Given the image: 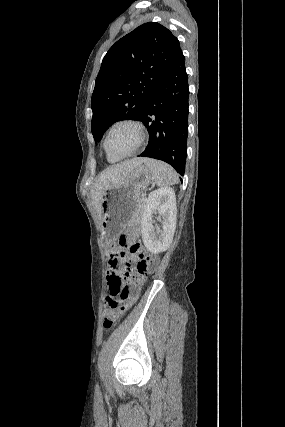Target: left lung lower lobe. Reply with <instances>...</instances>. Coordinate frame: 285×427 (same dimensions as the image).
I'll list each match as a JSON object with an SVG mask.
<instances>
[{
	"mask_svg": "<svg viewBox=\"0 0 285 427\" xmlns=\"http://www.w3.org/2000/svg\"><path fill=\"white\" fill-rule=\"evenodd\" d=\"M188 98V79L181 52L155 88L139 119L150 137L139 156L162 160L181 176H184L187 154Z\"/></svg>",
	"mask_w": 285,
	"mask_h": 427,
	"instance_id": "left-lung-lower-lobe-1",
	"label": "left lung lower lobe"
}]
</instances>
